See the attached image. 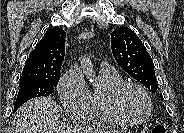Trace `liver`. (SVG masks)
<instances>
[{
	"mask_svg": "<svg viewBox=\"0 0 184 133\" xmlns=\"http://www.w3.org/2000/svg\"><path fill=\"white\" fill-rule=\"evenodd\" d=\"M60 109L50 97H36L23 104L12 118L13 133H101L90 127H65Z\"/></svg>",
	"mask_w": 184,
	"mask_h": 133,
	"instance_id": "1",
	"label": "liver"
}]
</instances>
